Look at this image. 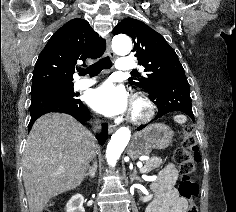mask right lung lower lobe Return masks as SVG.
I'll list each match as a JSON object with an SVG mask.
<instances>
[{
	"label": "right lung lower lobe",
	"instance_id": "98d812e1",
	"mask_svg": "<svg viewBox=\"0 0 236 212\" xmlns=\"http://www.w3.org/2000/svg\"><path fill=\"white\" fill-rule=\"evenodd\" d=\"M50 112L70 114L81 123H84L90 119V111L82 103V101L79 103H71L38 90L31 91V120L28 126V131H30L33 123L40 116ZM107 137L108 125L103 124L102 132L100 134H96V138L98 139L100 144H104Z\"/></svg>",
	"mask_w": 236,
	"mask_h": 212
}]
</instances>
